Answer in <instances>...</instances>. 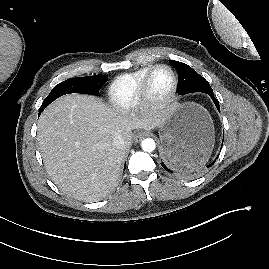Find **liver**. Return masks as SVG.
I'll list each match as a JSON object with an SVG mask.
<instances>
[{"label":"liver","instance_id":"liver-1","mask_svg":"<svg viewBox=\"0 0 269 269\" xmlns=\"http://www.w3.org/2000/svg\"><path fill=\"white\" fill-rule=\"evenodd\" d=\"M165 115L138 118L101 99L81 94L60 97L41 114L37 140L47 173L62 192L81 201L110 193L132 144V130L160 127ZM122 136L125 145L112 141Z\"/></svg>","mask_w":269,"mask_h":269}]
</instances>
